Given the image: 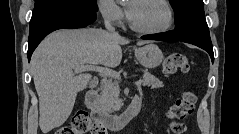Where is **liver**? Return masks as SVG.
<instances>
[{
    "instance_id": "1",
    "label": "liver",
    "mask_w": 239,
    "mask_h": 134,
    "mask_svg": "<svg viewBox=\"0 0 239 134\" xmlns=\"http://www.w3.org/2000/svg\"><path fill=\"white\" fill-rule=\"evenodd\" d=\"M129 42L102 29L84 28L53 32L40 43L32 55L31 70L39 97V126L43 134L64 124L77 94L91 80L90 74L73 72L74 67L100 64L114 68L122 60L120 45Z\"/></svg>"
}]
</instances>
